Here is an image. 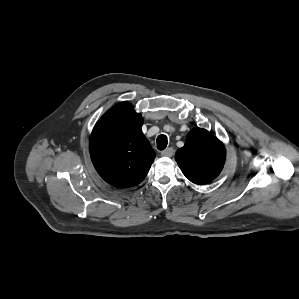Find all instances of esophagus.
I'll use <instances>...</instances> for the list:
<instances>
[{
	"mask_svg": "<svg viewBox=\"0 0 299 299\" xmlns=\"http://www.w3.org/2000/svg\"><path fill=\"white\" fill-rule=\"evenodd\" d=\"M174 154V149L169 147L161 152V156L163 157H172Z\"/></svg>",
	"mask_w": 299,
	"mask_h": 299,
	"instance_id": "esophagus-1",
	"label": "esophagus"
}]
</instances>
